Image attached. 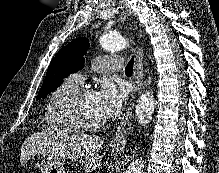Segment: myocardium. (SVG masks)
<instances>
[{"mask_svg":"<svg viewBox=\"0 0 219 173\" xmlns=\"http://www.w3.org/2000/svg\"><path fill=\"white\" fill-rule=\"evenodd\" d=\"M90 94H94L93 90L88 87L79 89L74 93L66 103L65 111L68 121L78 131L81 132H95L103 129L107 123L106 120L100 123H89L86 122L79 111L82 101Z\"/></svg>","mask_w":219,"mask_h":173,"instance_id":"obj_1","label":"myocardium"}]
</instances>
